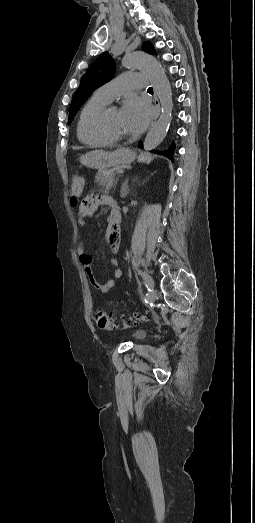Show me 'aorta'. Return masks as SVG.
<instances>
[{
    "instance_id": "aorta-1",
    "label": "aorta",
    "mask_w": 255,
    "mask_h": 523,
    "mask_svg": "<svg viewBox=\"0 0 255 523\" xmlns=\"http://www.w3.org/2000/svg\"><path fill=\"white\" fill-rule=\"evenodd\" d=\"M126 68H139L149 78L161 104V114L144 140L146 151L156 148L165 138L172 120V91L170 82L161 64L151 55L144 52H132L122 59Z\"/></svg>"
}]
</instances>
